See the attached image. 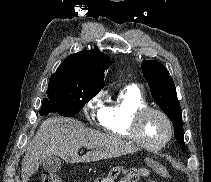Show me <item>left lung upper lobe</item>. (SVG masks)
<instances>
[{"label":"left lung upper lobe","instance_id":"1","mask_svg":"<svg viewBox=\"0 0 211 182\" xmlns=\"http://www.w3.org/2000/svg\"><path fill=\"white\" fill-rule=\"evenodd\" d=\"M142 72L150 86L154 101L173 123L175 137L185 152L182 111L168 70L157 61L145 60L142 63Z\"/></svg>","mask_w":211,"mask_h":182}]
</instances>
